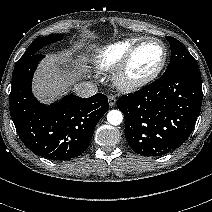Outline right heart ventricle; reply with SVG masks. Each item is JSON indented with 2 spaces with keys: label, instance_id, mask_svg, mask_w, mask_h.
Instances as JSON below:
<instances>
[{
  "label": "right heart ventricle",
  "instance_id": "1",
  "mask_svg": "<svg viewBox=\"0 0 212 212\" xmlns=\"http://www.w3.org/2000/svg\"><path fill=\"white\" fill-rule=\"evenodd\" d=\"M138 41V39H127L102 48L94 57L96 68L103 72L114 70L130 48Z\"/></svg>",
  "mask_w": 212,
  "mask_h": 212
}]
</instances>
